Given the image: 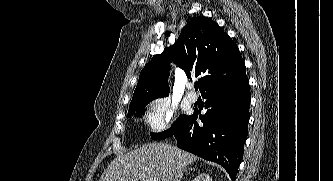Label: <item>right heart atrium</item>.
<instances>
[{
    "instance_id": "obj_1",
    "label": "right heart atrium",
    "mask_w": 333,
    "mask_h": 181,
    "mask_svg": "<svg viewBox=\"0 0 333 181\" xmlns=\"http://www.w3.org/2000/svg\"><path fill=\"white\" fill-rule=\"evenodd\" d=\"M176 107L167 97L152 100L146 112V123L152 132H162L172 124Z\"/></svg>"
}]
</instances>
